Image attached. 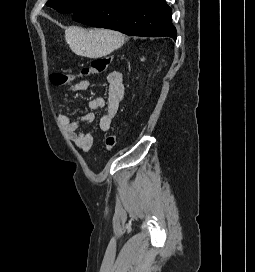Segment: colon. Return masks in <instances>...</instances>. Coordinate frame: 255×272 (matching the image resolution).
<instances>
[{
  "instance_id": "obj_1",
  "label": "colon",
  "mask_w": 255,
  "mask_h": 272,
  "mask_svg": "<svg viewBox=\"0 0 255 272\" xmlns=\"http://www.w3.org/2000/svg\"><path fill=\"white\" fill-rule=\"evenodd\" d=\"M111 63L109 56L96 57L92 60L90 66L84 67L78 74H67L63 72H53L50 76L51 81L55 85H67L79 78H86L91 75L99 74L105 71ZM117 143V134L111 133L105 139V150L111 152Z\"/></svg>"
}]
</instances>
